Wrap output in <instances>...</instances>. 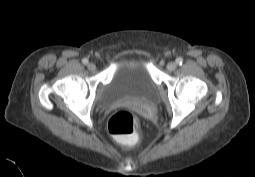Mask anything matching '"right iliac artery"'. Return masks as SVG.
<instances>
[{
  "label": "right iliac artery",
  "mask_w": 255,
  "mask_h": 177,
  "mask_svg": "<svg viewBox=\"0 0 255 177\" xmlns=\"http://www.w3.org/2000/svg\"><path fill=\"white\" fill-rule=\"evenodd\" d=\"M82 63H83L84 65H87V64H88V59L84 58V59L82 60Z\"/></svg>",
  "instance_id": "1"
}]
</instances>
